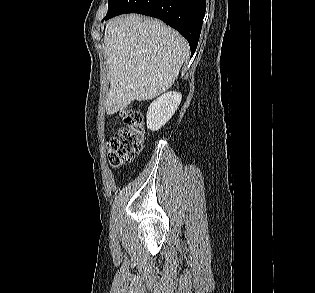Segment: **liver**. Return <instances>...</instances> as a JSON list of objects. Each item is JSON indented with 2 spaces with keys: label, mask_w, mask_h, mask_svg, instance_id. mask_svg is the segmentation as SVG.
Returning <instances> with one entry per match:
<instances>
[{
  "label": "liver",
  "mask_w": 315,
  "mask_h": 293,
  "mask_svg": "<svg viewBox=\"0 0 315 293\" xmlns=\"http://www.w3.org/2000/svg\"><path fill=\"white\" fill-rule=\"evenodd\" d=\"M104 51L110 82L106 110L112 115L134 100H151L169 89L189 45L161 21L130 14L107 23Z\"/></svg>",
  "instance_id": "liver-1"
}]
</instances>
